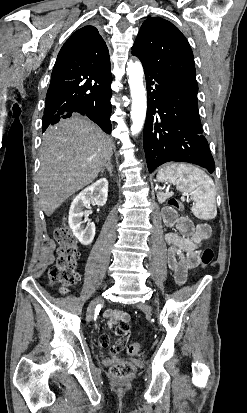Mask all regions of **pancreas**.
<instances>
[{"label":"pancreas","mask_w":247,"mask_h":413,"mask_svg":"<svg viewBox=\"0 0 247 413\" xmlns=\"http://www.w3.org/2000/svg\"><path fill=\"white\" fill-rule=\"evenodd\" d=\"M172 194L173 192H157L158 202H164V200H166V198H170Z\"/></svg>","instance_id":"1"}]
</instances>
